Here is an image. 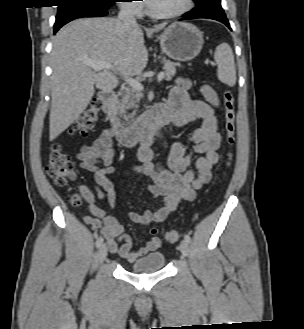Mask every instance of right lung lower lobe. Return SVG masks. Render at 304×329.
Returning <instances> with one entry per match:
<instances>
[{
	"label": "right lung lower lobe",
	"instance_id": "right-lung-lower-lobe-1",
	"mask_svg": "<svg viewBox=\"0 0 304 329\" xmlns=\"http://www.w3.org/2000/svg\"><path fill=\"white\" fill-rule=\"evenodd\" d=\"M107 9L103 8H77L69 10L56 16V22L54 24V34L66 23L83 17H102L107 14Z\"/></svg>",
	"mask_w": 304,
	"mask_h": 329
}]
</instances>
